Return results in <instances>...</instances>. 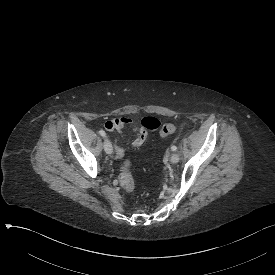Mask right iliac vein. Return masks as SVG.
<instances>
[{
    "instance_id": "63e3f726",
    "label": "right iliac vein",
    "mask_w": 275,
    "mask_h": 275,
    "mask_svg": "<svg viewBox=\"0 0 275 275\" xmlns=\"http://www.w3.org/2000/svg\"><path fill=\"white\" fill-rule=\"evenodd\" d=\"M103 146H104L105 152L108 155H111L112 154V150H113L111 141L109 139H105Z\"/></svg>"
}]
</instances>
